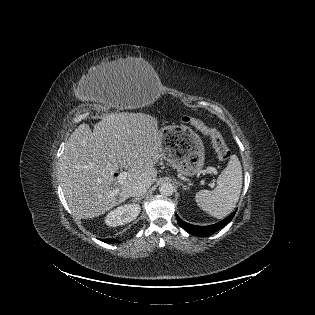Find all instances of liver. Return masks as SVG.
<instances>
[{
	"label": "liver",
	"instance_id": "liver-1",
	"mask_svg": "<svg viewBox=\"0 0 315 315\" xmlns=\"http://www.w3.org/2000/svg\"><path fill=\"white\" fill-rule=\"evenodd\" d=\"M119 63L127 67L130 61ZM161 151L158 120L149 114L111 113L93 131L80 124L60 158L61 186L72 213L79 219L97 217L128 199L136 184H153ZM119 167L127 170L122 184L114 177ZM112 186L118 190L114 196Z\"/></svg>",
	"mask_w": 315,
	"mask_h": 315
}]
</instances>
